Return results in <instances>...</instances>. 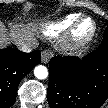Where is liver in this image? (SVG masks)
<instances>
[{"instance_id": "liver-1", "label": "liver", "mask_w": 108, "mask_h": 108, "mask_svg": "<svg viewBox=\"0 0 108 108\" xmlns=\"http://www.w3.org/2000/svg\"><path fill=\"white\" fill-rule=\"evenodd\" d=\"M37 31L36 25L29 24H16L10 27L7 31L6 28L1 24L0 26V46L5 47L6 45L13 42L18 46L19 43L29 44L35 41V32Z\"/></svg>"}]
</instances>
